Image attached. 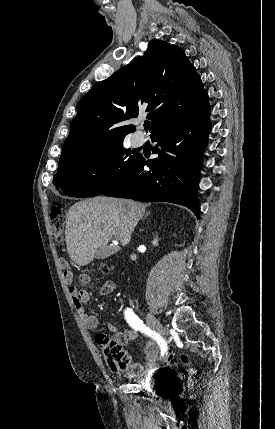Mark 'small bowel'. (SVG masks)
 I'll list each match as a JSON object with an SVG mask.
<instances>
[{
	"label": "small bowel",
	"mask_w": 275,
	"mask_h": 429,
	"mask_svg": "<svg viewBox=\"0 0 275 429\" xmlns=\"http://www.w3.org/2000/svg\"><path fill=\"white\" fill-rule=\"evenodd\" d=\"M64 279L66 283L68 284L69 292L72 297L73 304L75 306V309L77 313L79 314L82 322L84 323L85 327L89 330H94L98 327V318L95 315H91L86 310V304L89 301V293L86 290L83 289H77L76 286L73 284L74 275L72 271L69 269L67 271H64ZM91 280L90 276L88 274H80L79 275V281L83 284L89 283ZM116 288V285L113 281H107L104 283V285L100 289V293L102 295H108L112 293ZM108 329L115 333L116 337L122 341V342H136L139 339V333L136 330L132 329H126L120 331L116 324L109 323ZM161 351L160 346L157 342L154 340H147L144 343V353L146 355V365L143 366L138 363L131 364L127 370L126 373L130 377H137L142 376L145 372V369L147 370H154L157 368V360L159 353Z\"/></svg>",
	"instance_id": "c3829d8e"
}]
</instances>
